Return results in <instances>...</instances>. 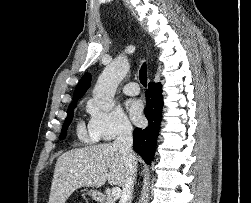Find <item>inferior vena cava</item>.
Returning <instances> with one entry per match:
<instances>
[{"mask_svg":"<svg viewBox=\"0 0 251 203\" xmlns=\"http://www.w3.org/2000/svg\"><path fill=\"white\" fill-rule=\"evenodd\" d=\"M132 143V126L129 122H124L119 129L117 138L113 142V146L122 155L126 167V176L122 186L120 203H131L132 200L133 183L137 168Z\"/></svg>","mask_w":251,"mask_h":203,"instance_id":"obj_1","label":"inferior vena cava"}]
</instances>
